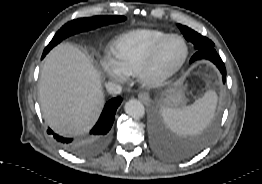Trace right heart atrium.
Instances as JSON below:
<instances>
[{
	"instance_id": "obj_1",
	"label": "right heart atrium",
	"mask_w": 262,
	"mask_h": 184,
	"mask_svg": "<svg viewBox=\"0 0 262 184\" xmlns=\"http://www.w3.org/2000/svg\"><path fill=\"white\" fill-rule=\"evenodd\" d=\"M101 69L111 80L122 82L126 79L127 74L119 67L115 60L111 58L102 60Z\"/></svg>"
}]
</instances>
